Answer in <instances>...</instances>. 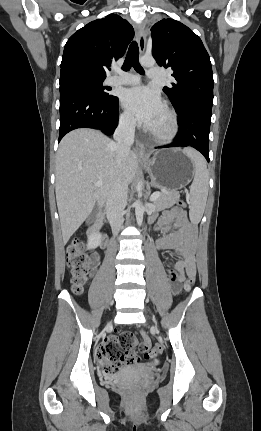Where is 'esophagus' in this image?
Here are the masks:
<instances>
[{
	"instance_id": "esophagus-1",
	"label": "esophagus",
	"mask_w": 261,
	"mask_h": 431,
	"mask_svg": "<svg viewBox=\"0 0 261 431\" xmlns=\"http://www.w3.org/2000/svg\"><path fill=\"white\" fill-rule=\"evenodd\" d=\"M136 37L139 45V51H140V54L142 55L146 47V30L143 26H139L137 28ZM136 150L140 156L146 155V148L144 144L139 141L136 142Z\"/></svg>"
}]
</instances>
